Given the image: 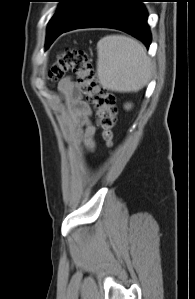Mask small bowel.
I'll return each mask as SVG.
<instances>
[{
  "label": "small bowel",
  "instance_id": "1",
  "mask_svg": "<svg viewBox=\"0 0 195 299\" xmlns=\"http://www.w3.org/2000/svg\"><path fill=\"white\" fill-rule=\"evenodd\" d=\"M59 88L68 98L69 122L73 137L80 141L88 151H93L95 127L90 122L91 110L82 99L80 85L67 77L60 81Z\"/></svg>",
  "mask_w": 195,
  "mask_h": 299
}]
</instances>
